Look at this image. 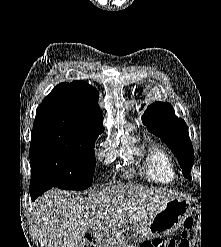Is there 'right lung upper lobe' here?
<instances>
[{"label":"right lung upper lobe","instance_id":"obj_1","mask_svg":"<svg viewBox=\"0 0 221 247\" xmlns=\"http://www.w3.org/2000/svg\"><path fill=\"white\" fill-rule=\"evenodd\" d=\"M96 89L83 80L57 85L36 110L33 129H62L97 138L104 131Z\"/></svg>","mask_w":221,"mask_h":247}]
</instances>
